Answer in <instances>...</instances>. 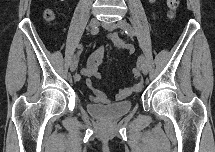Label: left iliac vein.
Masks as SVG:
<instances>
[{"instance_id":"4c4485c4","label":"left iliac vein","mask_w":215,"mask_h":152,"mask_svg":"<svg viewBox=\"0 0 215 152\" xmlns=\"http://www.w3.org/2000/svg\"><path fill=\"white\" fill-rule=\"evenodd\" d=\"M120 22L121 21H119L117 23H102V26L109 31H113V30L117 29L118 27H120ZM141 65L143 66V70H142L143 74L147 75L148 71H149V67H148L147 61L144 57H143V64H141Z\"/></svg>"}]
</instances>
